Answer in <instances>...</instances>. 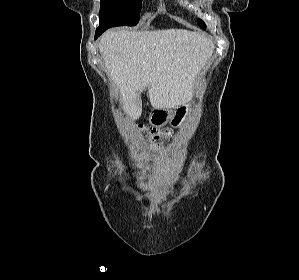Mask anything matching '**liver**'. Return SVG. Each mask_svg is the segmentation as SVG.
<instances>
[{
	"label": "liver",
	"instance_id": "liver-1",
	"mask_svg": "<svg viewBox=\"0 0 299 280\" xmlns=\"http://www.w3.org/2000/svg\"><path fill=\"white\" fill-rule=\"evenodd\" d=\"M213 48L204 35L183 29L109 30L99 42L105 69L132 120L142 114L141 92L146 87L155 109L187 104L195 95V78Z\"/></svg>",
	"mask_w": 299,
	"mask_h": 280
}]
</instances>
